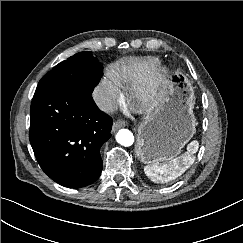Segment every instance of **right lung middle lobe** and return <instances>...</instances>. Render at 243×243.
<instances>
[{"mask_svg": "<svg viewBox=\"0 0 243 243\" xmlns=\"http://www.w3.org/2000/svg\"><path fill=\"white\" fill-rule=\"evenodd\" d=\"M101 78V67L90 51L80 52L56 65L38 86L72 88L77 85L95 87Z\"/></svg>", "mask_w": 243, "mask_h": 243, "instance_id": "obj_1", "label": "right lung middle lobe"}]
</instances>
